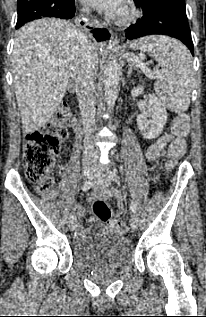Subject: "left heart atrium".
Wrapping results in <instances>:
<instances>
[{"label":"left heart atrium","instance_id":"1","mask_svg":"<svg viewBox=\"0 0 206 317\" xmlns=\"http://www.w3.org/2000/svg\"><path fill=\"white\" fill-rule=\"evenodd\" d=\"M82 2L106 13L108 16L118 15L124 7V0H81Z\"/></svg>","mask_w":206,"mask_h":317}]
</instances>
